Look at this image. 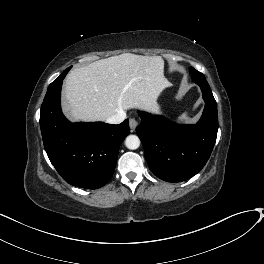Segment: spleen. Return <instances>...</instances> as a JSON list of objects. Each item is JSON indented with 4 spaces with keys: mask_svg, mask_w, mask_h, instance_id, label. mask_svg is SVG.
<instances>
[{
    "mask_svg": "<svg viewBox=\"0 0 264 264\" xmlns=\"http://www.w3.org/2000/svg\"><path fill=\"white\" fill-rule=\"evenodd\" d=\"M190 120L191 119L188 117L186 113H183L181 116L177 118L178 122H190Z\"/></svg>",
    "mask_w": 264,
    "mask_h": 264,
    "instance_id": "3e777b00",
    "label": "spleen"
}]
</instances>
